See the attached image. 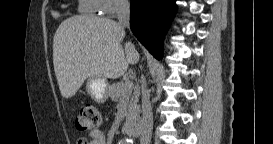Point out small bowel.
<instances>
[{
	"label": "small bowel",
	"mask_w": 273,
	"mask_h": 144,
	"mask_svg": "<svg viewBox=\"0 0 273 144\" xmlns=\"http://www.w3.org/2000/svg\"><path fill=\"white\" fill-rule=\"evenodd\" d=\"M76 144H106V137L100 130H93L87 136L77 139Z\"/></svg>",
	"instance_id": "c3829d8e"
}]
</instances>
